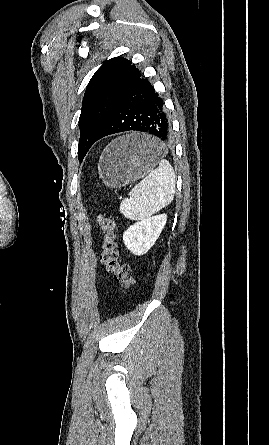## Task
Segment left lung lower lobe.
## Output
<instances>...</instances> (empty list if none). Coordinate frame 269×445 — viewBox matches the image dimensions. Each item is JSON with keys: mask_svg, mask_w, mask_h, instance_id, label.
<instances>
[{"mask_svg": "<svg viewBox=\"0 0 269 445\" xmlns=\"http://www.w3.org/2000/svg\"><path fill=\"white\" fill-rule=\"evenodd\" d=\"M129 130L152 134L165 143L171 140V124L164 102L137 68L95 142L107 135Z\"/></svg>", "mask_w": 269, "mask_h": 445, "instance_id": "0a47b994", "label": "left lung lower lobe"}]
</instances>
